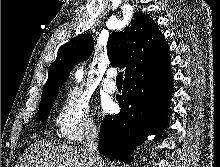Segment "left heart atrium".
I'll return each mask as SVG.
<instances>
[{
  "label": "left heart atrium",
  "instance_id": "left-heart-atrium-1",
  "mask_svg": "<svg viewBox=\"0 0 220 167\" xmlns=\"http://www.w3.org/2000/svg\"><path fill=\"white\" fill-rule=\"evenodd\" d=\"M114 104L111 99H105L102 101V109L104 112H111L113 110Z\"/></svg>",
  "mask_w": 220,
  "mask_h": 167
}]
</instances>
